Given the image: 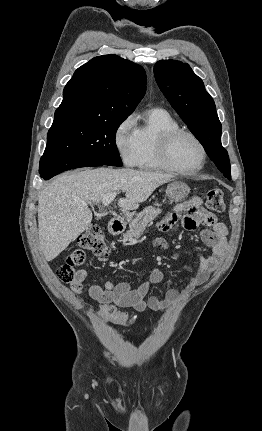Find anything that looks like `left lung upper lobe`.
I'll return each mask as SVG.
<instances>
[{"instance_id":"left-lung-upper-lobe-1","label":"left lung upper lobe","mask_w":262,"mask_h":431,"mask_svg":"<svg viewBox=\"0 0 262 431\" xmlns=\"http://www.w3.org/2000/svg\"><path fill=\"white\" fill-rule=\"evenodd\" d=\"M156 82L172 107L203 145L210 159L228 179L230 161L221 144L222 126L204 83L186 63L161 60L155 64Z\"/></svg>"}]
</instances>
